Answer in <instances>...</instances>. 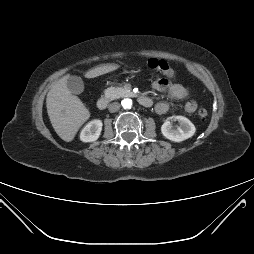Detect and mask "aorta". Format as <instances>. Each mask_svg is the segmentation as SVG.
<instances>
[{
	"mask_svg": "<svg viewBox=\"0 0 254 254\" xmlns=\"http://www.w3.org/2000/svg\"><path fill=\"white\" fill-rule=\"evenodd\" d=\"M121 103H122V106H123L124 109L131 108V106H132V100L128 99V98L122 100Z\"/></svg>",
	"mask_w": 254,
	"mask_h": 254,
	"instance_id": "1",
	"label": "aorta"
}]
</instances>
